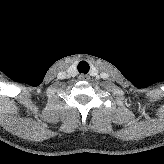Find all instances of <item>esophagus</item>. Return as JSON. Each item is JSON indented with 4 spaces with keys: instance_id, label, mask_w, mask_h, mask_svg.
I'll return each mask as SVG.
<instances>
[{
    "instance_id": "esophagus-1",
    "label": "esophagus",
    "mask_w": 164,
    "mask_h": 164,
    "mask_svg": "<svg viewBox=\"0 0 164 164\" xmlns=\"http://www.w3.org/2000/svg\"><path fill=\"white\" fill-rule=\"evenodd\" d=\"M79 79L80 80H88L89 79V76L88 75H85V74H81V75H79Z\"/></svg>"
}]
</instances>
